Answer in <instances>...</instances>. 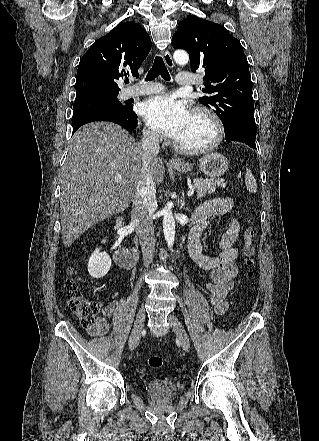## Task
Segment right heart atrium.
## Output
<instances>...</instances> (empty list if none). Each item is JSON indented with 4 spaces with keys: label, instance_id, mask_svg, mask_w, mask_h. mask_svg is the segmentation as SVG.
I'll use <instances>...</instances> for the list:
<instances>
[{
    "label": "right heart atrium",
    "instance_id": "d8ad5b80",
    "mask_svg": "<svg viewBox=\"0 0 319 441\" xmlns=\"http://www.w3.org/2000/svg\"><path fill=\"white\" fill-rule=\"evenodd\" d=\"M143 134L144 138L149 142L157 143L161 140L160 134L148 126L144 127Z\"/></svg>",
    "mask_w": 319,
    "mask_h": 441
}]
</instances>
